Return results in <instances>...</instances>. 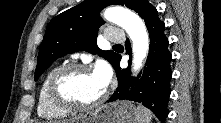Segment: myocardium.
Here are the masks:
<instances>
[{
	"instance_id": "f54148a6",
	"label": "myocardium",
	"mask_w": 221,
	"mask_h": 123,
	"mask_svg": "<svg viewBox=\"0 0 221 123\" xmlns=\"http://www.w3.org/2000/svg\"><path fill=\"white\" fill-rule=\"evenodd\" d=\"M74 71H91V67L77 62L68 63L58 67L51 75L48 84V94L52 103L69 112L90 111L99 108L107 99V88L104 89V92L96 101L88 104L73 101L63 95L60 88L61 81L66 75Z\"/></svg>"
}]
</instances>
